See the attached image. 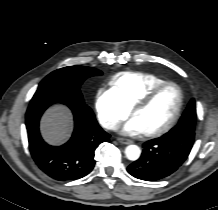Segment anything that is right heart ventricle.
I'll return each mask as SVG.
<instances>
[{
	"instance_id": "1",
	"label": "right heart ventricle",
	"mask_w": 218,
	"mask_h": 210,
	"mask_svg": "<svg viewBox=\"0 0 218 210\" xmlns=\"http://www.w3.org/2000/svg\"><path fill=\"white\" fill-rule=\"evenodd\" d=\"M162 82L165 80L151 73L123 72L110 80V88L131 109L149 90Z\"/></svg>"
}]
</instances>
